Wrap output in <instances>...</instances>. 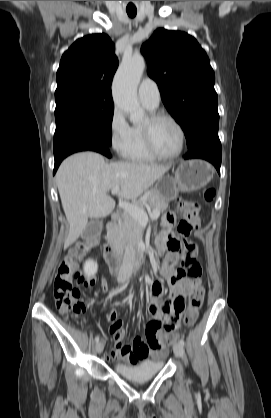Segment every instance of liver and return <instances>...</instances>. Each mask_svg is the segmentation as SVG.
Returning a JSON list of instances; mask_svg holds the SVG:
<instances>
[{
  "label": "liver",
  "mask_w": 271,
  "mask_h": 418,
  "mask_svg": "<svg viewBox=\"0 0 271 418\" xmlns=\"http://www.w3.org/2000/svg\"><path fill=\"white\" fill-rule=\"evenodd\" d=\"M169 169L170 165L134 161L108 164L95 152H81L66 158L56 173L62 207L69 223L64 248L79 238L89 218H103L112 213L115 202L108 192L113 187H120L119 198L136 199Z\"/></svg>",
  "instance_id": "6515ba94"
}]
</instances>
